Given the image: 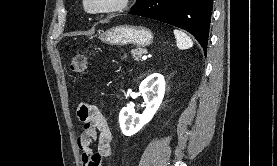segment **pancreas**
<instances>
[{"instance_id":"cf45deb5","label":"pancreas","mask_w":277,"mask_h":166,"mask_svg":"<svg viewBox=\"0 0 277 166\" xmlns=\"http://www.w3.org/2000/svg\"><path fill=\"white\" fill-rule=\"evenodd\" d=\"M145 52H146V50L142 49V48L132 49L131 55L135 58V60H139L140 56Z\"/></svg>"}]
</instances>
